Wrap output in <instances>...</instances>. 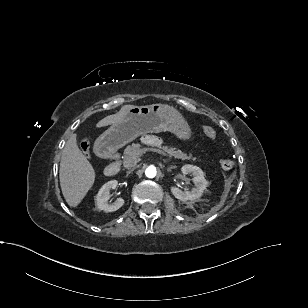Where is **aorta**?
I'll return each mask as SVG.
<instances>
[{"instance_id": "1", "label": "aorta", "mask_w": 308, "mask_h": 308, "mask_svg": "<svg viewBox=\"0 0 308 308\" xmlns=\"http://www.w3.org/2000/svg\"><path fill=\"white\" fill-rule=\"evenodd\" d=\"M156 167L151 165L149 167L146 168L145 170V175L148 177V178H154L156 176Z\"/></svg>"}]
</instances>
